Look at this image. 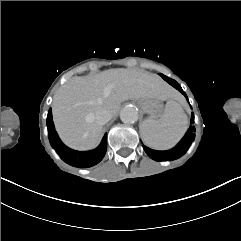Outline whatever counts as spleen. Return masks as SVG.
<instances>
[{
	"label": "spleen",
	"instance_id": "1",
	"mask_svg": "<svg viewBox=\"0 0 241 241\" xmlns=\"http://www.w3.org/2000/svg\"><path fill=\"white\" fill-rule=\"evenodd\" d=\"M188 129V117L182 106L169 100L160 119L148 118L140 126L143 142L156 150L173 148Z\"/></svg>",
	"mask_w": 241,
	"mask_h": 241
}]
</instances>
